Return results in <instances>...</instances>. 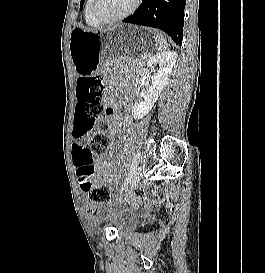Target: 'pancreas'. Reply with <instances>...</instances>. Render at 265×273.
I'll return each instance as SVG.
<instances>
[{"label":"pancreas","instance_id":"pancreas-1","mask_svg":"<svg viewBox=\"0 0 265 273\" xmlns=\"http://www.w3.org/2000/svg\"><path fill=\"white\" fill-rule=\"evenodd\" d=\"M144 59L140 58V59H129V65H136V64H140L143 63Z\"/></svg>","mask_w":265,"mask_h":273}]
</instances>
